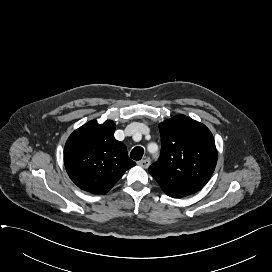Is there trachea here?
I'll use <instances>...</instances> for the list:
<instances>
[{
  "mask_svg": "<svg viewBox=\"0 0 272 272\" xmlns=\"http://www.w3.org/2000/svg\"><path fill=\"white\" fill-rule=\"evenodd\" d=\"M144 154V149L142 147H135L132 149L131 153H130V157L133 159V160H141L142 156Z\"/></svg>",
  "mask_w": 272,
  "mask_h": 272,
  "instance_id": "3493384b",
  "label": "trachea"
}]
</instances>
